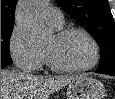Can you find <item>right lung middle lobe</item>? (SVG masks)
Segmentation results:
<instances>
[{"instance_id":"dd1d6c3e","label":"right lung middle lobe","mask_w":115,"mask_h":99,"mask_svg":"<svg viewBox=\"0 0 115 99\" xmlns=\"http://www.w3.org/2000/svg\"><path fill=\"white\" fill-rule=\"evenodd\" d=\"M13 27H1V65H11L12 59L9 52V40Z\"/></svg>"}]
</instances>
